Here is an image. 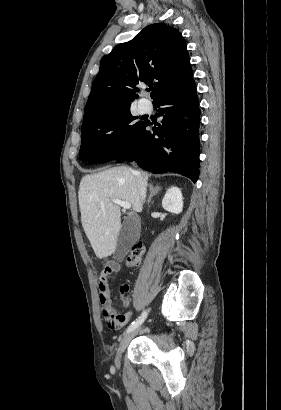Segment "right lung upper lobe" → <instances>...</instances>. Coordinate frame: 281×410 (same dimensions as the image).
<instances>
[{
    "mask_svg": "<svg viewBox=\"0 0 281 410\" xmlns=\"http://www.w3.org/2000/svg\"><path fill=\"white\" fill-rule=\"evenodd\" d=\"M193 80L181 33L155 23L104 56L84 110L83 124L130 107L140 82L154 83L152 98L178 90ZM153 101V102H154Z\"/></svg>",
    "mask_w": 281,
    "mask_h": 410,
    "instance_id": "obj_1",
    "label": "right lung upper lobe"
}]
</instances>
